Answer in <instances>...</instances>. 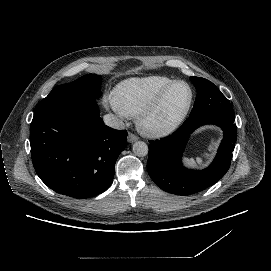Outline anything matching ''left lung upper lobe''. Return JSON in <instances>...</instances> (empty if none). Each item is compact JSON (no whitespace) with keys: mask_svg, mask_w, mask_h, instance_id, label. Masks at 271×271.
<instances>
[{"mask_svg":"<svg viewBox=\"0 0 271 271\" xmlns=\"http://www.w3.org/2000/svg\"><path fill=\"white\" fill-rule=\"evenodd\" d=\"M190 80L197 90L196 100L190 115L203 112L234 114L230 102L212 82L200 77H190Z\"/></svg>","mask_w":271,"mask_h":271,"instance_id":"1","label":"left lung upper lobe"}]
</instances>
